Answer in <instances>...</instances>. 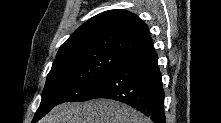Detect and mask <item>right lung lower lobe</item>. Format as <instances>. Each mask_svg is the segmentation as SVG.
Returning <instances> with one entry per match:
<instances>
[{
	"mask_svg": "<svg viewBox=\"0 0 221 123\" xmlns=\"http://www.w3.org/2000/svg\"><path fill=\"white\" fill-rule=\"evenodd\" d=\"M95 98L123 102L164 123V91L154 49L129 56L109 72L96 84L90 99Z\"/></svg>",
	"mask_w": 221,
	"mask_h": 123,
	"instance_id": "1",
	"label": "right lung lower lobe"
}]
</instances>
